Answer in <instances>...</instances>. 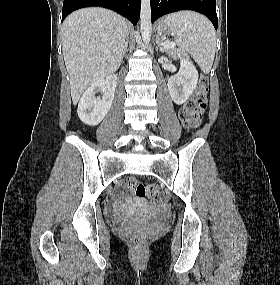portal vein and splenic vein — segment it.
I'll return each instance as SVG.
<instances>
[{
    "instance_id": "obj_1",
    "label": "portal vein and splenic vein",
    "mask_w": 280,
    "mask_h": 285,
    "mask_svg": "<svg viewBox=\"0 0 280 285\" xmlns=\"http://www.w3.org/2000/svg\"><path fill=\"white\" fill-rule=\"evenodd\" d=\"M175 46H176V43L170 42L164 45V49L174 48Z\"/></svg>"
}]
</instances>
